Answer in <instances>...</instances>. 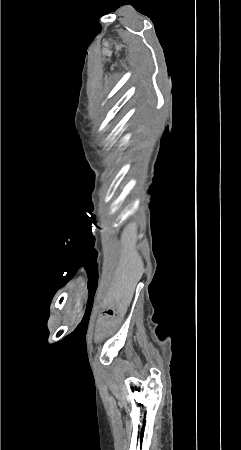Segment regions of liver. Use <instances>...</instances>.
<instances>
[{
    "label": "liver",
    "mask_w": 241,
    "mask_h": 450,
    "mask_svg": "<svg viewBox=\"0 0 241 450\" xmlns=\"http://www.w3.org/2000/svg\"><path fill=\"white\" fill-rule=\"evenodd\" d=\"M121 242L122 250L120 252V260L111 282L110 296L115 302L124 304L125 308H127L144 272L142 258L136 250V222H131L123 230Z\"/></svg>",
    "instance_id": "liver-1"
}]
</instances>
